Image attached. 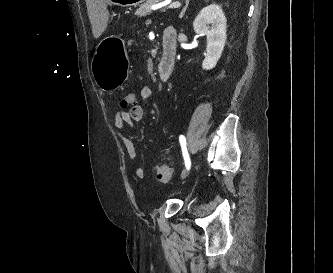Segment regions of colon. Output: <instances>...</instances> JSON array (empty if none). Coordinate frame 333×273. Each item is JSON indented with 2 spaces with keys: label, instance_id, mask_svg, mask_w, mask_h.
I'll list each match as a JSON object with an SVG mask.
<instances>
[{
  "label": "colon",
  "instance_id": "5ec220e1",
  "mask_svg": "<svg viewBox=\"0 0 333 273\" xmlns=\"http://www.w3.org/2000/svg\"><path fill=\"white\" fill-rule=\"evenodd\" d=\"M137 105V95L134 92H127L121 98V106L126 107H134ZM171 178V168L166 165H160L155 173V180L159 183H166Z\"/></svg>",
  "mask_w": 333,
  "mask_h": 273
}]
</instances>
